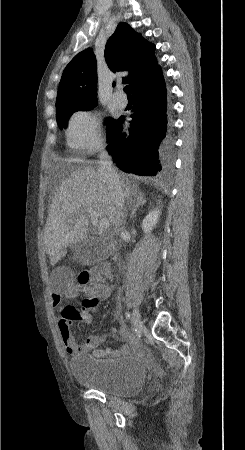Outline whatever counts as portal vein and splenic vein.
Returning <instances> with one entry per match:
<instances>
[{"label":"portal vein and splenic vein","mask_w":245,"mask_h":450,"mask_svg":"<svg viewBox=\"0 0 245 450\" xmlns=\"http://www.w3.org/2000/svg\"><path fill=\"white\" fill-rule=\"evenodd\" d=\"M86 211L95 226H98L100 229H107L109 227V221L106 218L98 220V215L92 208H87ZM68 222L72 223L73 220L70 219Z\"/></svg>","instance_id":"18ae733b"}]
</instances>
